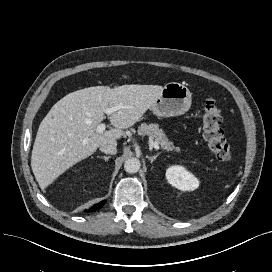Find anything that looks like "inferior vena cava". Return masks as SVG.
<instances>
[{"instance_id": "602c4592", "label": "inferior vena cava", "mask_w": 272, "mask_h": 272, "mask_svg": "<svg viewBox=\"0 0 272 272\" xmlns=\"http://www.w3.org/2000/svg\"><path fill=\"white\" fill-rule=\"evenodd\" d=\"M116 143H105L100 146V150L104 152L105 154H116L117 153V147Z\"/></svg>"}]
</instances>
